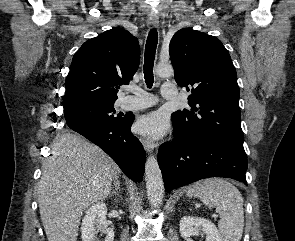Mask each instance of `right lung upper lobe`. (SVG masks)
Here are the masks:
<instances>
[{
	"mask_svg": "<svg viewBox=\"0 0 295 241\" xmlns=\"http://www.w3.org/2000/svg\"><path fill=\"white\" fill-rule=\"evenodd\" d=\"M139 61L138 40L122 28L87 40L75 53L65 81L64 113L114 103L119 85L129 83Z\"/></svg>",
	"mask_w": 295,
	"mask_h": 241,
	"instance_id": "cb5924a9",
	"label": "right lung upper lobe"
}]
</instances>
